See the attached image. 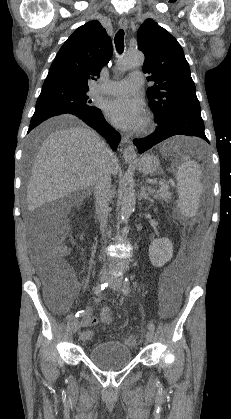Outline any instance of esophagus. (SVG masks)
Listing matches in <instances>:
<instances>
[{"mask_svg": "<svg viewBox=\"0 0 231 419\" xmlns=\"http://www.w3.org/2000/svg\"><path fill=\"white\" fill-rule=\"evenodd\" d=\"M119 26L126 29L128 27V20L125 17L120 18ZM122 146L123 158L126 161H133L137 157V153L128 137L124 136L122 138Z\"/></svg>", "mask_w": 231, "mask_h": 419, "instance_id": "esophagus-1", "label": "esophagus"}]
</instances>
